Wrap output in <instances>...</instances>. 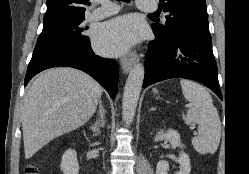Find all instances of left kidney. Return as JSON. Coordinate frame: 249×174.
<instances>
[{
  "mask_svg": "<svg viewBox=\"0 0 249 174\" xmlns=\"http://www.w3.org/2000/svg\"><path fill=\"white\" fill-rule=\"evenodd\" d=\"M154 140L162 141L168 140L171 144L172 148L182 147L180 135L177 131L173 129H169L167 132L160 130ZM178 163L180 164V170L176 174H190L191 165L189 156L186 153H181L179 158L177 159ZM169 164L166 161H159L156 167V174H168Z\"/></svg>",
  "mask_w": 249,
  "mask_h": 174,
  "instance_id": "5707ae66",
  "label": "left kidney"
}]
</instances>
